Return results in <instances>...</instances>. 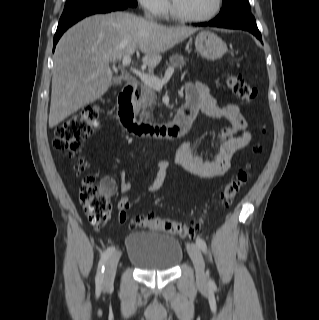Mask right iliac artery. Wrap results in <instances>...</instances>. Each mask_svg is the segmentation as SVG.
<instances>
[{"label":"right iliac artery","instance_id":"1","mask_svg":"<svg viewBox=\"0 0 319 320\" xmlns=\"http://www.w3.org/2000/svg\"><path fill=\"white\" fill-rule=\"evenodd\" d=\"M114 251H115V247L111 246L107 248L101 256V259L98 264L97 275H96V286L99 288L102 286V283H103L105 264L109 259V257H111V255L114 253Z\"/></svg>","mask_w":319,"mask_h":320}]
</instances>
